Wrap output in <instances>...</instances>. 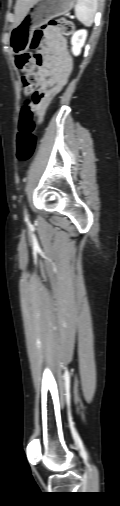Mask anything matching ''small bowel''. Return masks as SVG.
Wrapping results in <instances>:
<instances>
[{
	"label": "small bowel",
	"mask_w": 120,
	"mask_h": 506,
	"mask_svg": "<svg viewBox=\"0 0 120 506\" xmlns=\"http://www.w3.org/2000/svg\"><path fill=\"white\" fill-rule=\"evenodd\" d=\"M36 57L41 93V104L37 112L42 118L51 101L67 84L73 69V61L68 54L65 38L53 29L46 30Z\"/></svg>",
	"instance_id": "obj_1"
}]
</instances>
